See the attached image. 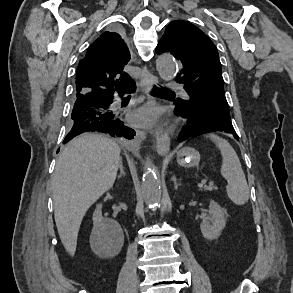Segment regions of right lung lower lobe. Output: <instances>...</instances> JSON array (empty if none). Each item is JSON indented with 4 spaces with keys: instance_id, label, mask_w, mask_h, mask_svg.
Returning a JSON list of instances; mask_svg holds the SVG:
<instances>
[{
    "instance_id": "98d812e1",
    "label": "right lung lower lobe",
    "mask_w": 293,
    "mask_h": 293,
    "mask_svg": "<svg viewBox=\"0 0 293 293\" xmlns=\"http://www.w3.org/2000/svg\"><path fill=\"white\" fill-rule=\"evenodd\" d=\"M135 91L134 83L121 91H93L76 93L71 114L73 127L64 139L67 143L75 136L88 131L108 133L114 137L133 138L135 131L123 124L119 113L109 108L114 92L121 95Z\"/></svg>"
}]
</instances>
